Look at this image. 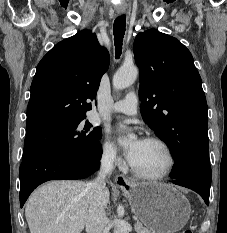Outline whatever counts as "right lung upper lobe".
Masks as SVG:
<instances>
[{"label": "right lung upper lobe", "instance_id": "right-lung-upper-lobe-1", "mask_svg": "<svg viewBox=\"0 0 227 233\" xmlns=\"http://www.w3.org/2000/svg\"><path fill=\"white\" fill-rule=\"evenodd\" d=\"M109 53L91 31L56 44L39 62L31 84L26 135L86 117Z\"/></svg>", "mask_w": 227, "mask_h": 233}]
</instances>
